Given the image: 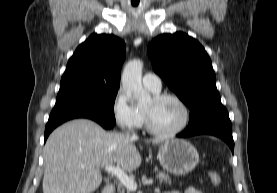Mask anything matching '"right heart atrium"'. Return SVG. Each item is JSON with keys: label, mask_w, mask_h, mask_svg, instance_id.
<instances>
[{"label": "right heart atrium", "mask_w": 277, "mask_h": 193, "mask_svg": "<svg viewBox=\"0 0 277 193\" xmlns=\"http://www.w3.org/2000/svg\"><path fill=\"white\" fill-rule=\"evenodd\" d=\"M112 114L116 123L126 129L134 130L142 125V116L133 107L122 89H119L112 101Z\"/></svg>", "instance_id": "obj_1"}]
</instances>
